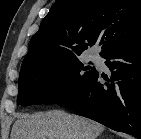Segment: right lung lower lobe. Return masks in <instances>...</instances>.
Segmentation results:
<instances>
[{
	"mask_svg": "<svg viewBox=\"0 0 141 139\" xmlns=\"http://www.w3.org/2000/svg\"><path fill=\"white\" fill-rule=\"evenodd\" d=\"M112 76L99 82L96 71L76 92L58 105L113 130L141 139V40L104 56Z\"/></svg>",
	"mask_w": 141,
	"mask_h": 139,
	"instance_id": "1",
	"label": "right lung lower lobe"
}]
</instances>
